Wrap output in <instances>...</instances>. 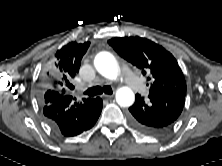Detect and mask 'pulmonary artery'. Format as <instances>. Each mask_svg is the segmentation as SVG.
<instances>
[{
  "instance_id": "e3ab8cb5",
  "label": "pulmonary artery",
  "mask_w": 222,
  "mask_h": 166,
  "mask_svg": "<svg viewBox=\"0 0 222 166\" xmlns=\"http://www.w3.org/2000/svg\"><path fill=\"white\" fill-rule=\"evenodd\" d=\"M122 77L124 82L132 89H137L139 86V78L127 66L122 69ZM78 90H84V86H79Z\"/></svg>"
}]
</instances>
